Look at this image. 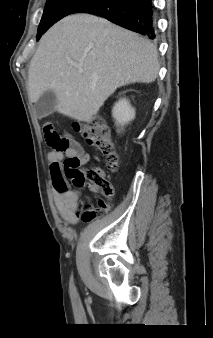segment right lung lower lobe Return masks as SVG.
<instances>
[{"label": "right lung lower lobe", "mask_w": 213, "mask_h": 338, "mask_svg": "<svg viewBox=\"0 0 213 338\" xmlns=\"http://www.w3.org/2000/svg\"><path fill=\"white\" fill-rule=\"evenodd\" d=\"M74 13H90L154 39L155 7L152 0H92Z\"/></svg>", "instance_id": "98d812e1"}]
</instances>
